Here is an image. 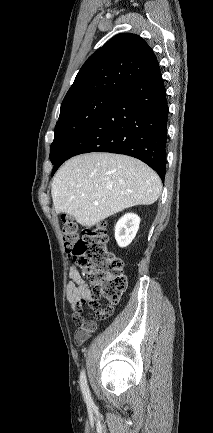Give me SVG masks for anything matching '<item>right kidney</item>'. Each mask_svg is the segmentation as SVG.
I'll return each mask as SVG.
<instances>
[{"mask_svg":"<svg viewBox=\"0 0 213 433\" xmlns=\"http://www.w3.org/2000/svg\"><path fill=\"white\" fill-rule=\"evenodd\" d=\"M140 218L133 213L121 217L115 226V239L120 247H127L135 238L139 229Z\"/></svg>","mask_w":213,"mask_h":433,"instance_id":"obj_1","label":"right kidney"}]
</instances>
